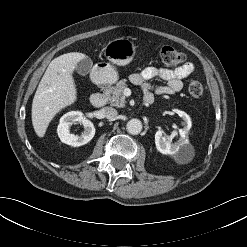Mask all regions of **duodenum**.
<instances>
[{
  "label": "duodenum",
  "instance_id": "duodenum-1",
  "mask_svg": "<svg viewBox=\"0 0 247 247\" xmlns=\"http://www.w3.org/2000/svg\"><path fill=\"white\" fill-rule=\"evenodd\" d=\"M109 97V89L104 88L101 91L94 93L90 97V103L95 107H102L104 106ZM153 102V98L145 97L143 100L144 105H150Z\"/></svg>",
  "mask_w": 247,
  "mask_h": 247
}]
</instances>
